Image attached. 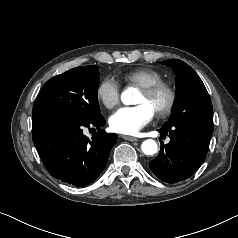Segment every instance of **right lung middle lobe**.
<instances>
[{
  "label": "right lung middle lobe",
  "instance_id": "1",
  "mask_svg": "<svg viewBox=\"0 0 238 238\" xmlns=\"http://www.w3.org/2000/svg\"><path fill=\"white\" fill-rule=\"evenodd\" d=\"M98 67L68 70L46 82L38 94L32 116H67L90 122L100 118Z\"/></svg>",
  "mask_w": 238,
  "mask_h": 238
}]
</instances>
